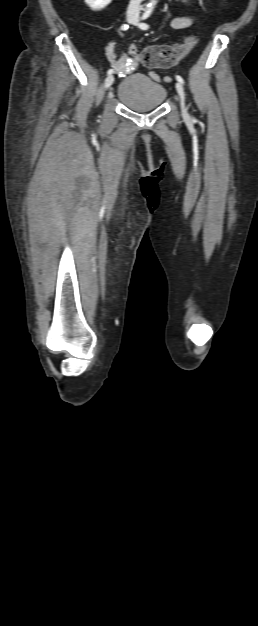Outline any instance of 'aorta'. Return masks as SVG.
<instances>
[{
    "label": "aorta",
    "instance_id": "aorta-1",
    "mask_svg": "<svg viewBox=\"0 0 258 626\" xmlns=\"http://www.w3.org/2000/svg\"><path fill=\"white\" fill-rule=\"evenodd\" d=\"M156 0H151L150 6L152 7L155 4Z\"/></svg>",
    "mask_w": 258,
    "mask_h": 626
}]
</instances>
